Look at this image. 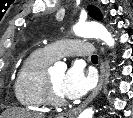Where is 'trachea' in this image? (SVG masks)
I'll return each instance as SVG.
<instances>
[{
	"mask_svg": "<svg viewBox=\"0 0 133 118\" xmlns=\"http://www.w3.org/2000/svg\"><path fill=\"white\" fill-rule=\"evenodd\" d=\"M91 60H92V61H98V56H97V55H93V56L91 57Z\"/></svg>",
	"mask_w": 133,
	"mask_h": 118,
	"instance_id": "obj_1",
	"label": "trachea"
}]
</instances>
